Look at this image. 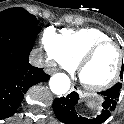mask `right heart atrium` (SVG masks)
I'll return each instance as SVG.
<instances>
[{"label":"right heart atrium","mask_w":124,"mask_h":124,"mask_svg":"<svg viewBox=\"0 0 124 124\" xmlns=\"http://www.w3.org/2000/svg\"><path fill=\"white\" fill-rule=\"evenodd\" d=\"M40 42L49 61H55L66 69H72L75 66L64 55L61 48L60 36L53 28H46L44 30Z\"/></svg>","instance_id":"right-heart-atrium-1"}]
</instances>
